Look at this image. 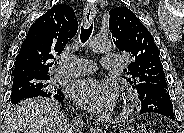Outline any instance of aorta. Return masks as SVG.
<instances>
[{"instance_id": "762f6f07", "label": "aorta", "mask_w": 184, "mask_h": 133, "mask_svg": "<svg viewBox=\"0 0 184 133\" xmlns=\"http://www.w3.org/2000/svg\"><path fill=\"white\" fill-rule=\"evenodd\" d=\"M88 45L89 48L95 52H105L109 51L112 48V44L109 39L102 38L99 36H93L90 39Z\"/></svg>"}]
</instances>
